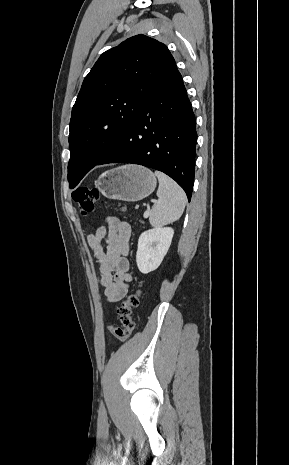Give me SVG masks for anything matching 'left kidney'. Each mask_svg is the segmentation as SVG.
Masks as SVG:
<instances>
[{
	"mask_svg": "<svg viewBox=\"0 0 289 465\" xmlns=\"http://www.w3.org/2000/svg\"><path fill=\"white\" fill-rule=\"evenodd\" d=\"M173 234L171 227H156L140 235L136 262L141 273L148 274L160 266L171 245Z\"/></svg>",
	"mask_w": 289,
	"mask_h": 465,
	"instance_id": "left-kidney-1",
	"label": "left kidney"
}]
</instances>
